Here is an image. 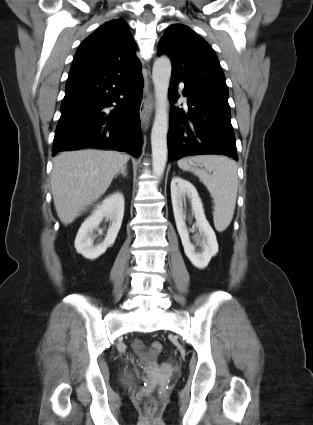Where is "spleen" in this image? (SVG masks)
<instances>
[{
    "label": "spleen",
    "instance_id": "obj_1",
    "mask_svg": "<svg viewBox=\"0 0 313 425\" xmlns=\"http://www.w3.org/2000/svg\"><path fill=\"white\" fill-rule=\"evenodd\" d=\"M178 166L196 174L206 186L214 200V226L217 231H224L233 218L237 198L238 175L235 161L225 156L200 155L182 158L178 161Z\"/></svg>",
    "mask_w": 313,
    "mask_h": 425
}]
</instances>
